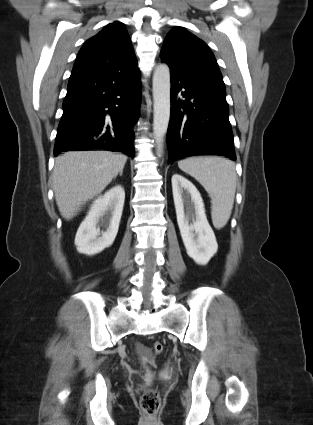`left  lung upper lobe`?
<instances>
[{
    "mask_svg": "<svg viewBox=\"0 0 313 425\" xmlns=\"http://www.w3.org/2000/svg\"><path fill=\"white\" fill-rule=\"evenodd\" d=\"M161 58L171 71L189 80L225 87L212 51L183 27H175L168 33Z\"/></svg>",
    "mask_w": 313,
    "mask_h": 425,
    "instance_id": "1",
    "label": "left lung upper lobe"
}]
</instances>
